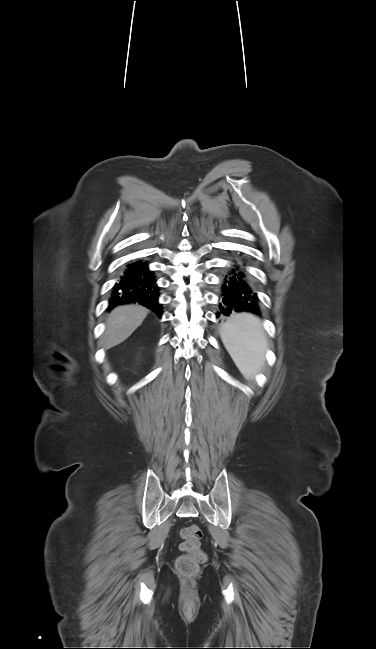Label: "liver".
<instances>
[{"instance_id":"1","label":"liver","mask_w":376,"mask_h":649,"mask_svg":"<svg viewBox=\"0 0 376 649\" xmlns=\"http://www.w3.org/2000/svg\"><path fill=\"white\" fill-rule=\"evenodd\" d=\"M149 310L139 305H121L111 311L103 336L106 349L124 342L142 324Z\"/></svg>"}]
</instances>
